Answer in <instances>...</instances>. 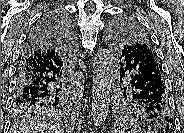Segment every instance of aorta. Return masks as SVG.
Instances as JSON below:
<instances>
[{"instance_id": "obj_1", "label": "aorta", "mask_w": 184, "mask_h": 133, "mask_svg": "<svg viewBox=\"0 0 184 133\" xmlns=\"http://www.w3.org/2000/svg\"><path fill=\"white\" fill-rule=\"evenodd\" d=\"M113 70V54L108 49H100L93 64L91 114L96 127L103 125L109 112Z\"/></svg>"}]
</instances>
